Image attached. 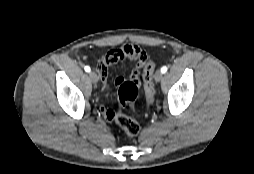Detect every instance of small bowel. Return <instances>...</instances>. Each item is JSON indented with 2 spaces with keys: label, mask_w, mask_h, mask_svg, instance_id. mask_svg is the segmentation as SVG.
<instances>
[{
  "label": "small bowel",
  "mask_w": 254,
  "mask_h": 174,
  "mask_svg": "<svg viewBox=\"0 0 254 174\" xmlns=\"http://www.w3.org/2000/svg\"><path fill=\"white\" fill-rule=\"evenodd\" d=\"M147 53L137 45H124L118 49L107 52L98 62V73L102 83L105 85L108 78V69L110 66L116 63L123 62L125 60H132L136 63L130 77V81L137 84L140 83V69L147 61ZM125 82L123 76H117L115 79V84L117 86L122 85ZM100 111L103 117L111 121L113 119V110L100 106Z\"/></svg>",
  "instance_id": "obj_1"
}]
</instances>
